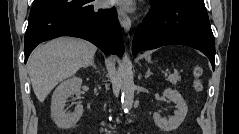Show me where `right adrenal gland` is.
Wrapping results in <instances>:
<instances>
[{"label": "right adrenal gland", "mask_w": 239, "mask_h": 134, "mask_svg": "<svg viewBox=\"0 0 239 134\" xmlns=\"http://www.w3.org/2000/svg\"><path fill=\"white\" fill-rule=\"evenodd\" d=\"M88 66H92L93 68L97 69V67L94 63V59L92 60V62ZM88 66H86V67H88Z\"/></svg>", "instance_id": "2a0ac1e0"}]
</instances>
